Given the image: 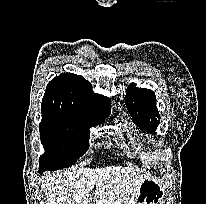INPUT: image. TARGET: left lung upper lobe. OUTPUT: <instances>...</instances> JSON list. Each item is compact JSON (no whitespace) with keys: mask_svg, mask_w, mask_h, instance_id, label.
I'll return each instance as SVG.
<instances>
[{"mask_svg":"<svg viewBox=\"0 0 206 204\" xmlns=\"http://www.w3.org/2000/svg\"><path fill=\"white\" fill-rule=\"evenodd\" d=\"M125 101L135 123L146 132L155 134L160 118L155 93L150 89H138L132 83L127 89Z\"/></svg>","mask_w":206,"mask_h":204,"instance_id":"5c2ea615","label":"left lung upper lobe"}]
</instances>
